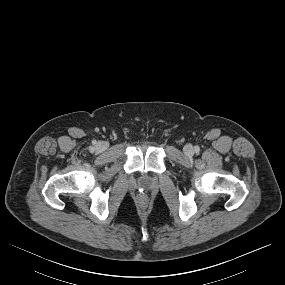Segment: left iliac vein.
I'll return each mask as SVG.
<instances>
[{
	"instance_id": "1",
	"label": "left iliac vein",
	"mask_w": 285,
	"mask_h": 285,
	"mask_svg": "<svg viewBox=\"0 0 285 285\" xmlns=\"http://www.w3.org/2000/svg\"><path fill=\"white\" fill-rule=\"evenodd\" d=\"M184 153L188 156H191L194 153L193 147L191 145H186L184 147Z\"/></svg>"
}]
</instances>
